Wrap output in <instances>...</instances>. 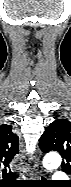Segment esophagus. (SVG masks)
Here are the masks:
<instances>
[{
    "label": "esophagus",
    "mask_w": 71,
    "mask_h": 187,
    "mask_svg": "<svg viewBox=\"0 0 71 187\" xmlns=\"http://www.w3.org/2000/svg\"><path fill=\"white\" fill-rule=\"evenodd\" d=\"M33 159H34V163H33L32 176L35 177V178H39L43 174V168L40 165L38 156H34Z\"/></svg>",
    "instance_id": "obj_1"
}]
</instances>
